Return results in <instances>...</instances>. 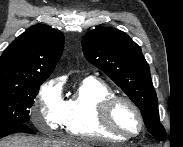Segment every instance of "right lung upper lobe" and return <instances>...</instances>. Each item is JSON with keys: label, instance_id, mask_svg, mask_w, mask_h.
<instances>
[{"label": "right lung upper lobe", "instance_id": "obj_1", "mask_svg": "<svg viewBox=\"0 0 183 147\" xmlns=\"http://www.w3.org/2000/svg\"><path fill=\"white\" fill-rule=\"evenodd\" d=\"M64 48L63 34L48 25L30 27L0 58V85L47 79Z\"/></svg>", "mask_w": 183, "mask_h": 147}]
</instances>
